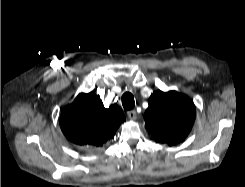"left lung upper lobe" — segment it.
Masks as SVG:
<instances>
[{
  "label": "left lung upper lobe",
  "instance_id": "1",
  "mask_svg": "<svg viewBox=\"0 0 245 187\" xmlns=\"http://www.w3.org/2000/svg\"><path fill=\"white\" fill-rule=\"evenodd\" d=\"M145 127L158 143L176 145L190 133L196 117L194 103L176 91H156L149 98Z\"/></svg>",
  "mask_w": 245,
  "mask_h": 187
}]
</instances>
